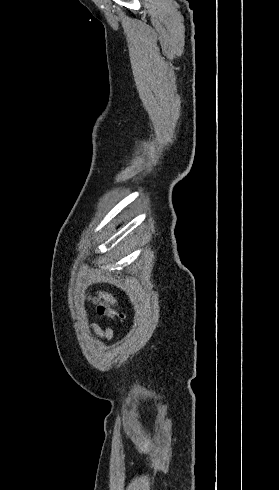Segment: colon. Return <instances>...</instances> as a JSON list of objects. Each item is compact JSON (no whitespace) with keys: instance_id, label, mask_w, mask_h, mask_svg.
Listing matches in <instances>:
<instances>
[{"instance_id":"1","label":"colon","mask_w":279,"mask_h":490,"mask_svg":"<svg viewBox=\"0 0 279 490\" xmlns=\"http://www.w3.org/2000/svg\"><path fill=\"white\" fill-rule=\"evenodd\" d=\"M96 305H97L98 315H101V316L106 315V316L111 317V318H115V317L119 316L118 312L115 309L109 307L105 303L97 302Z\"/></svg>"}]
</instances>
